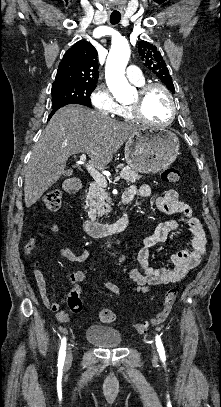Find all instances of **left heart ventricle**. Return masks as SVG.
I'll return each mask as SVG.
<instances>
[{"label":"left heart ventricle","instance_id":"left-heart-ventricle-1","mask_svg":"<svg viewBox=\"0 0 221 407\" xmlns=\"http://www.w3.org/2000/svg\"><path fill=\"white\" fill-rule=\"evenodd\" d=\"M137 99L135 94L132 103ZM143 113L151 121L162 123L168 120L170 104L165 93L160 89H152L143 102Z\"/></svg>","mask_w":221,"mask_h":407}]
</instances>
